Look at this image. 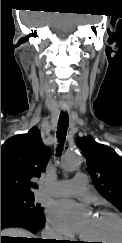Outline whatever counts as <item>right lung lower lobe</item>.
Returning <instances> with one entry per match:
<instances>
[{
    "mask_svg": "<svg viewBox=\"0 0 122 243\" xmlns=\"http://www.w3.org/2000/svg\"><path fill=\"white\" fill-rule=\"evenodd\" d=\"M45 224L43 213H33L16 207H1V229L6 227H22L36 232ZM9 239H1L7 242ZM17 243H55L56 241H46L38 238L9 240Z\"/></svg>",
    "mask_w": 122,
    "mask_h": 243,
    "instance_id": "right-lung-lower-lobe-1",
    "label": "right lung lower lobe"
}]
</instances>
